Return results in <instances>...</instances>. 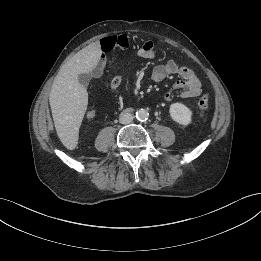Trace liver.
<instances>
[{
  "mask_svg": "<svg viewBox=\"0 0 261 261\" xmlns=\"http://www.w3.org/2000/svg\"><path fill=\"white\" fill-rule=\"evenodd\" d=\"M101 53L99 42L88 45L63 65L54 80L49 102L56 132L63 143L76 139L87 109L88 93L80 84L78 75L91 72Z\"/></svg>",
  "mask_w": 261,
  "mask_h": 261,
  "instance_id": "obj_1",
  "label": "liver"
}]
</instances>
